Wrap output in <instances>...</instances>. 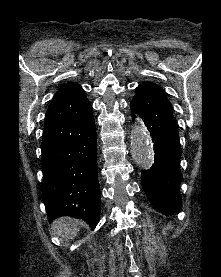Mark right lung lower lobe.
Segmentation results:
<instances>
[{"instance_id": "98d812e1", "label": "right lung lower lobe", "mask_w": 221, "mask_h": 277, "mask_svg": "<svg viewBox=\"0 0 221 277\" xmlns=\"http://www.w3.org/2000/svg\"><path fill=\"white\" fill-rule=\"evenodd\" d=\"M96 129L84 91L53 99L46 115L42 150L43 201L49 222L59 216L100 218Z\"/></svg>"}]
</instances>
